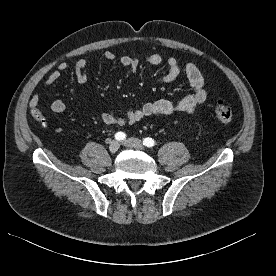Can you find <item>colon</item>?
<instances>
[{"instance_id":"colon-1","label":"colon","mask_w":276,"mask_h":276,"mask_svg":"<svg viewBox=\"0 0 276 276\" xmlns=\"http://www.w3.org/2000/svg\"><path fill=\"white\" fill-rule=\"evenodd\" d=\"M213 109H214L215 117L218 121L222 123H229L232 121L233 109L222 99L214 100ZM32 115L36 121L42 120V113L38 109L34 110Z\"/></svg>"}]
</instances>
